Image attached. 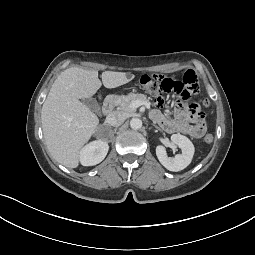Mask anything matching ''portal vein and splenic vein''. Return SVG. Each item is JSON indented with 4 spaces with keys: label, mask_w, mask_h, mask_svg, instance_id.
Returning a JSON list of instances; mask_svg holds the SVG:
<instances>
[{
    "label": "portal vein and splenic vein",
    "mask_w": 255,
    "mask_h": 255,
    "mask_svg": "<svg viewBox=\"0 0 255 255\" xmlns=\"http://www.w3.org/2000/svg\"><path fill=\"white\" fill-rule=\"evenodd\" d=\"M141 105H145L148 109L150 108V105L147 102H143V101H140V100L133 101L131 103L130 107L135 109V108L140 107Z\"/></svg>",
    "instance_id": "portal-vein-and-splenic-vein-1"
}]
</instances>
